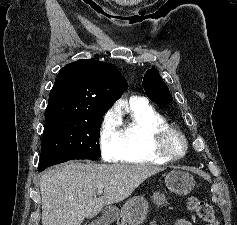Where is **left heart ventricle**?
Instances as JSON below:
<instances>
[{
  "label": "left heart ventricle",
  "instance_id": "b2bd125f",
  "mask_svg": "<svg viewBox=\"0 0 237 225\" xmlns=\"http://www.w3.org/2000/svg\"><path fill=\"white\" fill-rule=\"evenodd\" d=\"M173 146H174V148L177 149V150L180 148V144H179L178 142H174V143H173Z\"/></svg>",
  "mask_w": 237,
  "mask_h": 225
}]
</instances>
